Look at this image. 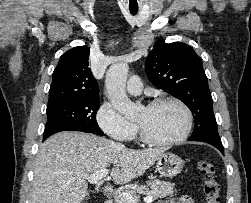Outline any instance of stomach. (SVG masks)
I'll return each mask as SVG.
<instances>
[{
	"label": "stomach",
	"instance_id": "1",
	"mask_svg": "<svg viewBox=\"0 0 251 203\" xmlns=\"http://www.w3.org/2000/svg\"><path fill=\"white\" fill-rule=\"evenodd\" d=\"M183 160L171 153H163L156 161V170L161 176L172 178L179 174L183 168Z\"/></svg>",
	"mask_w": 251,
	"mask_h": 203
}]
</instances>
